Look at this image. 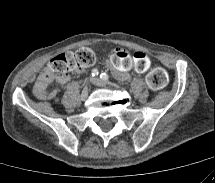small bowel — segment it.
<instances>
[{
    "label": "small bowel",
    "instance_id": "c3829d8e",
    "mask_svg": "<svg viewBox=\"0 0 215 183\" xmlns=\"http://www.w3.org/2000/svg\"><path fill=\"white\" fill-rule=\"evenodd\" d=\"M123 48H116L112 53L111 58L106 61V65L110 67L117 78L128 79L129 76L137 77L142 75L148 66L146 56L137 50L125 52ZM43 70L36 78L33 84V94L40 100H51L54 99L58 91L56 89L48 90V85L53 79L43 80ZM70 75H66L62 78L56 79L61 85L67 84L70 81Z\"/></svg>",
    "mask_w": 215,
    "mask_h": 183
}]
</instances>
